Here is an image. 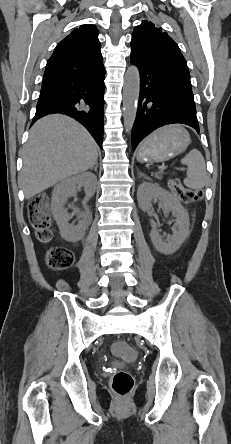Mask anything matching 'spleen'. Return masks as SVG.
Returning <instances> with one entry per match:
<instances>
[{"mask_svg": "<svg viewBox=\"0 0 231 444\" xmlns=\"http://www.w3.org/2000/svg\"><path fill=\"white\" fill-rule=\"evenodd\" d=\"M188 167L184 185L191 189H202L207 183L206 165L203 155L197 149H192L181 160Z\"/></svg>", "mask_w": 231, "mask_h": 444, "instance_id": "3e777b00", "label": "spleen"}]
</instances>
